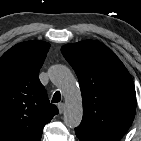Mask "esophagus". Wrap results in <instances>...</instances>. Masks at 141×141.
Returning <instances> with one entry per match:
<instances>
[{"label":"esophagus","mask_w":141,"mask_h":141,"mask_svg":"<svg viewBox=\"0 0 141 141\" xmlns=\"http://www.w3.org/2000/svg\"><path fill=\"white\" fill-rule=\"evenodd\" d=\"M57 107H58V110H59L60 113L64 112V110H65V104L64 103H59L57 105Z\"/></svg>","instance_id":"obj_1"}]
</instances>
